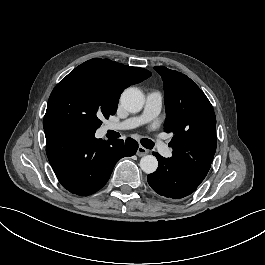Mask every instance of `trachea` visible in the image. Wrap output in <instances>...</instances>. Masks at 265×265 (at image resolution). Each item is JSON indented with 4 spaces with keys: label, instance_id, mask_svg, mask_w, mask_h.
Masks as SVG:
<instances>
[{
    "label": "trachea",
    "instance_id": "3493384b",
    "mask_svg": "<svg viewBox=\"0 0 265 265\" xmlns=\"http://www.w3.org/2000/svg\"><path fill=\"white\" fill-rule=\"evenodd\" d=\"M141 144L148 149H152L154 147V142L149 139H141Z\"/></svg>",
    "mask_w": 265,
    "mask_h": 265
}]
</instances>
